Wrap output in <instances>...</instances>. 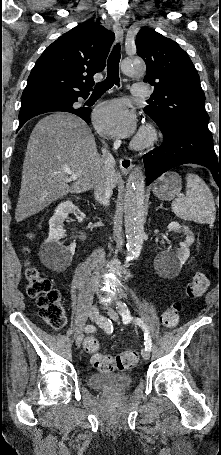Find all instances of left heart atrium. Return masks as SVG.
<instances>
[{
	"label": "left heart atrium",
	"instance_id": "obj_1",
	"mask_svg": "<svg viewBox=\"0 0 221 455\" xmlns=\"http://www.w3.org/2000/svg\"><path fill=\"white\" fill-rule=\"evenodd\" d=\"M94 123L98 130L112 137H129L137 125L136 115L118 100L99 106L94 113Z\"/></svg>",
	"mask_w": 221,
	"mask_h": 455
}]
</instances>
